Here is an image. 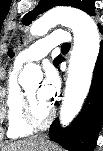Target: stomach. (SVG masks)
<instances>
[{
  "mask_svg": "<svg viewBox=\"0 0 103 151\" xmlns=\"http://www.w3.org/2000/svg\"><path fill=\"white\" fill-rule=\"evenodd\" d=\"M50 145L43 138H39L37 141V147L35 151H49Z\"/></svg>",
  "mask_w": 103,
  "mask_h": 151,
  "instance_id": "0dacf381",
  "label": "stomach"
}]
</instances>
